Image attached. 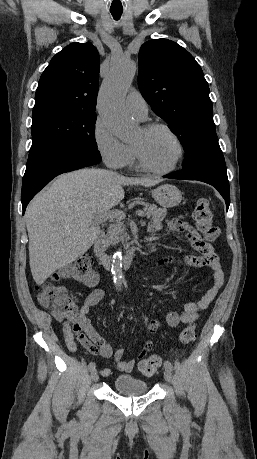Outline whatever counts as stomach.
<instances>
[{
  "mask_svg": "<svg viewBox=\"0 0 257 459\" xmlns=\"http://www.w3.org/2000/svg\"><path fill=\"white\" fill-rule=\"evenodd\" d=\"M151 193L155 201L166 208L177 206L182 200L180 190L172 184L159 186Z\"/></svg>",
  "mask_w": 257,
  "mask_h": 459,
  "instance_id": "1",
  "label": "stomach"
}]
</instances>
